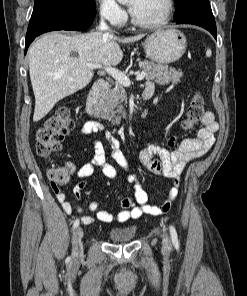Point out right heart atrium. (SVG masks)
<instances>
[{
  "mask_svg": "<svg viewBox=\"0 0 247 296\" xmlns=\"http://www.w3.org/2000/svg\"><path fill=\"white\" fill-rule=\"evenodd\" d=\"M100 17L115 26L122 25L126 20V13L116 0H96Z\"/></svg>",
  "mask_w": 247,
  "mask_h": 296,
  "instance_id": "right-heart-atrium-1",
  "label": "right heart atrium"
}]
</instances>
